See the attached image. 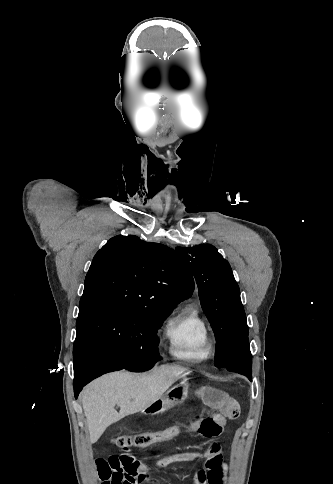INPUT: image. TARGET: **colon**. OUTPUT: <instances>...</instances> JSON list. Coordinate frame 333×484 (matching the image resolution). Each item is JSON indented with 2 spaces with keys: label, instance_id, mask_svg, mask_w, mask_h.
Returning a JSON list of instances; mask_svg holds the SVG:
<instances>
[{
  "label": "colon",
  "instance_id": "1",
  "mask_svg": "<svg viewBox=\"0 0 333 484\" xmlns=\"http://www.w3.org/2000/svg\"><path fill=\"white\" fill-rule=\"evenodd\" d=\"M197 419L188 418L157 432L119 436L114 439V443L119 447H143L158 442L169 441L185 434ZM98 471L102 484H110L107 473L100 469Z\"/></svg>",
  "mask_w": 333,
  "mask_h": 484
}]
</instances>
